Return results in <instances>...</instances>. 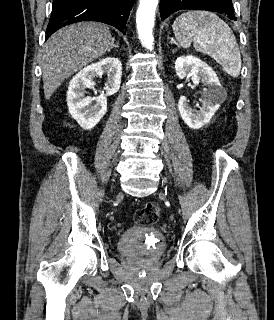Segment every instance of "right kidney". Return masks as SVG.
Listing matches in <instances>:
<instances>
[{"label": "right kidney", "instance_id": "right-kidney-1", "mask_svg": "<svg viewBox=\"0 0 274 320\" xmlns=\"http://www.w3.org/2000/svg\"><path fill=\"white\" fill-rule=\"evenodd\" d=\"M107 74L104 92L96 98H85L86 88H94L93 78ZM122 64L118 58H103L95 64L80 70L71 80L67 92L69 114L83 130H92L107 112V96H113L120 90ZM95 102V104H93Z\"/></svg>", "mask_w": 274, "mask_h": 320}]
</instances>
